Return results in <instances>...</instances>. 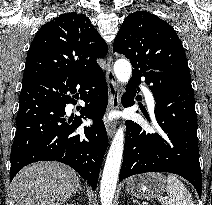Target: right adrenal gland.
Instances as JSON below:
<instances>
[{"instance_id":"1","label":"right adrenal gland","mask_w":212,"mask_h":205,"mask_svg":"<svg viewBox=\"0 0 212 205\" xmlns=\"http://www.w3.org/2000/svg\"><path fill=\"white\" fill-rule=\"evenodd\" d=\"M78 189L83 192L82 186L79 184V180L77 181V187L74 190V194H76L78 192Z\"/></svg>"}]
</instances>
